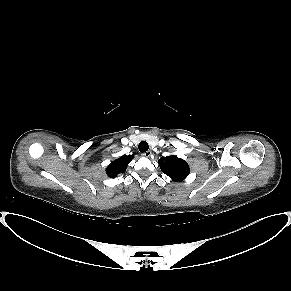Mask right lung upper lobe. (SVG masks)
<instances>
[{"label":"right lung upper lobe","instance_id":"obj_1","mask_svg":"<svg viewBox=\"0 0 291 291\" xmlns=\"http://www.w3.org/2000/svg\"><path fill=\"white\" fill-rule=\"evenodd\" d=\"M133 159V155L122 156L119 159L110 163L106 169V173L109 177L114 178L120 173H124L130 161Z\"/></svg>","mask_w":291,"mask_h":291}]
</instances>
